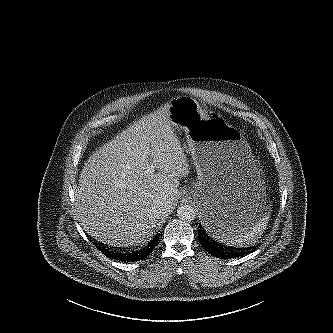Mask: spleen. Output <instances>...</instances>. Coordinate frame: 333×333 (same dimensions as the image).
Returning a JSON list of instances; mask_svg holds the SVG:
<instances>
[{
  "mask_svg": "<svg viewBox=\"0 0 333 333\" xmlns=\"http://www.w3.org/2000/svg\"><path fill=\"white\" fill-rule=\"evenodd\" d=\"M268 215H264L251 225L232 231L220 238L222 243L230 246L246 247L252 244L258 236L266 229L268 224Z\"/></svg>",
  "mask_w": 333,
  "mask_h": 333,
  "instance_id": "3e777b00",
  "label": "spleen"
}]
</instances>
